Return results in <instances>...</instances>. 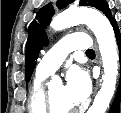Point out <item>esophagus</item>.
I'll return each mask as SVG.
<instances>
[{
  "label": "esophagus",
  "instance_id": "34e87169",
  "mask_svg": "<svg viewBox=\"0 0 121 113\" xmlns=\"http://www.w3.org/2000/svg\"><path fill=\"white\" fill-rule=\"evenodd\" d=\"M98 86H99V81L96 83V88H95V91H97Z\"/></svg>",
  "mask_w": 121,
  "mask_h": 113
}]
</instances>
